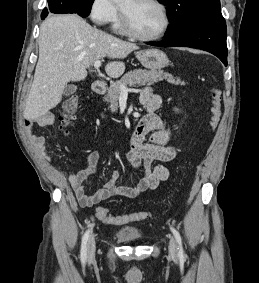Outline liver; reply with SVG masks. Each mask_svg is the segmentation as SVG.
Returning <instances> with one entry per match:
<instances>
[{"label": "liver", "instance_id": "obj_1", "mask_svg": "<svg viewBox=\"0 0 259 283\" xmlns=\"http://www.w3.org/2000/svg\"><path fill=\"white\" fill-rule=\"evenodd\" d=\"M136 49V44L94 28L78 15L49 16L40 26L39 59L24 110L25 119H37L56 107L67 84L84 79L95 61L106 56L123 59ZM105 71L117 78L124 73L125 64L109 62Z\"/></svg>", "mask_w": 259, "mask_h": 283}]
</instances>
